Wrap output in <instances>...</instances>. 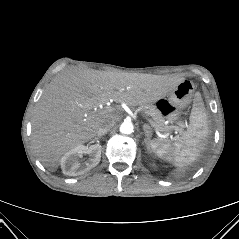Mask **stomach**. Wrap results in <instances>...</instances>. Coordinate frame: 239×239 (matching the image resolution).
Here are the masks:
<instances>
[{"label":"stomach","instance_id":"obj_1","mask_svg":"<svg viewBox=\"0 0 239 239\" xmlns=\"http://www.w3.org/2000/svg\"><path fill=\"white\" fill-rule=\"evenodd\" d=\"M194 88L190 80H182L169 92L168 98L162 97L156 101L165 118L171 121L179 119L182 109L192 98Z\"/></svg>","mask_w":239,"mask_h":239}]
</instances>
